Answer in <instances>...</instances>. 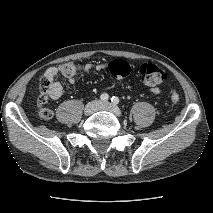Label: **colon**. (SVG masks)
Returning a JSON list of instances; mask_svg holds the SVG:
<instances>
[{
    "label": "colon",
    "mask_w": 213,
    "mask_h": 213,
    "mask_svg": "<svg viewBox=\"0 0 213 213\" xmlns=\"http://www.w3.org/2000/svg\"><path fill=\"white\" fill-rule=\"evenodd\" d=\"M111 73L118 78H125L130 74V65L124 60H114L109 67ZM81 70V66L74 62L68 61L60 66L62 75L66 78L76 77ZM140 78L143 84L149 87H155L162 84L166 80L165 72L153 63H144L140 67ZM49 97L48 89L43 81L41 92L38 98V105L36 109L37 115L41 119H50L52 117V110L46 105ZM180 100V95L177 91H172L170 101L172 104H177Z\"/></svg>",
    "instance_id": "5ec220e1"
}]
</instances>
